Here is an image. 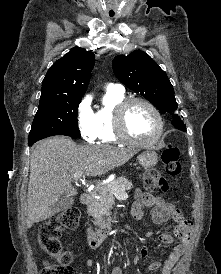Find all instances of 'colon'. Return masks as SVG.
<instances>
[{"mask_svg": "<svg viewBox=\"0 0 221 274\" xmlns=\"http://www.w3.org/2000/svg\"><path fill=\"white\" fill-rule=\"evenodd\" d=\"M179 149L168 145L162 152L161 158L164 169L169 176H177L181 172ZM145 185L152 192H167L168 183L165 177L157 172L150 171L145 175ZM80 220V210L69 207L61 214L53 216L39 229L38 239L41 248L57 260V264H45L40 274H73L70 266L72 256L63 250L59 241L61 232L65 229H74Z\"/></svg>", "mask_w": 221, "mask_h": 274, "instance_id": "obj_1", "label": "colon"}]
</instances>
